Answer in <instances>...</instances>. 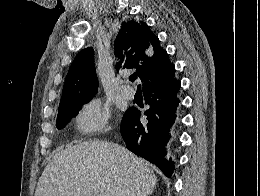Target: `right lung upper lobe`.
Segmentation results:
<instances>
[{"label": "right lung upper lobe", "instance_id": "obj_1", "mask_svg": "<svg viewBox=\"0 0 260 196\" xmlns=\"http://www.w3.org/2000/svg\"><path fill=\"white\" fill-rule=\"evenodd\" d=\"M114 49L120 59L116 69H135L142 85L161 79L175 69L167 52L160 48L157 36L144 22L141 25L135 21L123 22ZM93 55V49L88 47L74 59L64 83L59 110L97 92L98 79Z\"/></svg>", "mask_w": 260, "mask_h": 196}]
</instances>
